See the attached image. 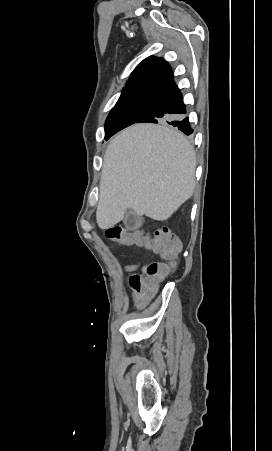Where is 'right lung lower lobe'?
<instances>
[{
	"instance_id": "right-lung-lower-lobe-1",
	"label": "right lung lower lobe",
	"mask_w": 272,
	"mask_h": 451,
	"mask_svg": "<svg viewBox=\"0 0 272 451\" xmlns=\"http://www.w3.org/2000/svg\"><path fill=\"white\" fill-rule=\"evenodd\" d=\"M187 114L182 94L174 81L170 82L157 94H155L150 103L148 111L135 123L140 122H166L169 125L177 127L186 135L193 132Z\"/></svg>"
}]
</instances>
